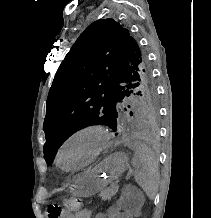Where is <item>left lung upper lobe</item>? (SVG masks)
Here are the masks:
<instances>
[{
  "instance_id": "1",
  "label": "left lung upper lobe",
  "mask_w": 211,
  "mask_h": 218,
  "mask_svg": "<svg viewBox=\"0 0 211 218\" xmlns=\"http://www.w3.org/2000/svg\"><path fill=\"white\" fill-rule=\"evenodd\" d=\"M129 96L135 99L131 103ZM128 115L148 127L158 120L148 58L119 22L97 20L76 40L50 88L43 126L47 164L76 131L102 124L115 132Z\"/></svg>"
}]
</instances>
